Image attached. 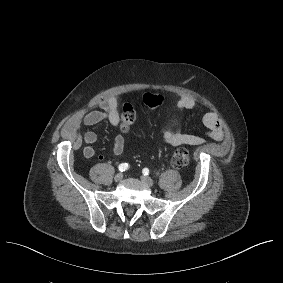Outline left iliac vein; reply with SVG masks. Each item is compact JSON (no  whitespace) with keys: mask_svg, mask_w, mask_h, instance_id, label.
<instances>
[{"mask_svg":"<svg viewBox=\"0 0 283 283\" xmlns=\"http://www.w3.org/2000/svg\"><path fill=\"white\" fill-rule=\"evenodd\" d=\"M141 181L149 187H152L154 185L153 180L150 177L144 175L141 176Z\"/></svg>","mask_w":283,"mask_h":283,"instance_id":"obj_1","label":"left iliac vein"}]
</instances>
